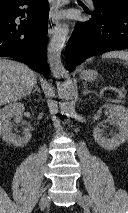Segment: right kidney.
I'll return each mask as SVG.
<instances>
[{"label":"right kidney","mask_w":128,"mask_h":213,"mask_svg":"<svg viewBox=\"0 0 128 213\" xmlns=\"http://www.w3.org/2000/svg\"><path fill=\"white\" fill-rule=\"evenodd\" d=\"M24 110L25 106L20 102L9 103L0 109V135L5 142L15 147L26 145L32 137L30 130L26 128L23 130L22 136L12 132L11 118H14L16 123H20Z\"/></svg>","instance_id":"1"}]
</instances>
